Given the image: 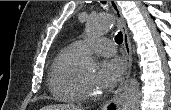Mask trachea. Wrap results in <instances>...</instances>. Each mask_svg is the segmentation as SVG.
Segmentation results:
<instances>
[{
  "mask_svg": "<svg viewBox=\"0 0 171 110\" xmlns=\"http://www.w3.org/2000/svg\"><path fill=\"white\" fill-rule=\"evenodd\" d=\"M101 3L105 4L106 1H101ZM115 42L117 44H121L123 42V35L121 32H119L116 36H115Z\"/></svg>",
  "mask_w": 171,
  "mask_h": 110,
  "instance_id": "trachea-1",
  "label": "trachea"
}]
</instances>
